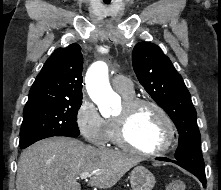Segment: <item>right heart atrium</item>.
<instances>
[{
  "instance_id": "1",
  "label": "right heart atrium",
  "mask_w": 221,
  "mask_h": 190,
  "mask_svg": "<svg viewBox=\"0 0 221 190\" xmlns=\"http://www.w3.org/2000/svg\"><path fill=\"white\" fill-rule=\"evenodd\" d=\"M76 126L84 139L97 147H103L109 142L110 126L98 111L95 104L83 97L75 114Z\"/></svg>"
}]
</instances>
